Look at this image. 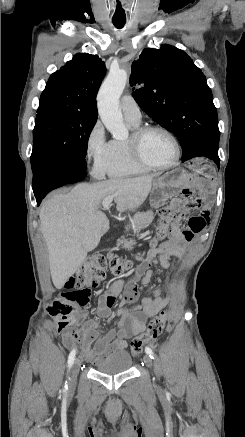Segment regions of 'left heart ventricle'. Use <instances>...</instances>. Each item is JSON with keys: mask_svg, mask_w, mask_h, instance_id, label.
I'll use <instances>...</instances> for the list:
<instances>
[{"mask_svg": "<svg viewBox=\"0 0 245 437\" xmlns=\"http://www.w3.org/2000/svg\"><path fill=\"white\" fill-rule=\"evenodd\" d=\"M142 156L155 164H168L175 156L172 141L164 133L153 130L143 135L140 140Z\"/></svg>", "mask_w": 245, "mask_h": 437, "instance_id": "obj_1", "label": "left heart ventricle"}]
</instances>
